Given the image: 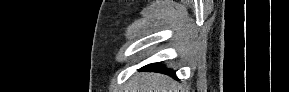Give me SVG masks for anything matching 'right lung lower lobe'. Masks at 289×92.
<instances>
[{"mask_svg": "<svg viewBox=\"0 0 289 92\" xmlns=\"http://www.w3.org/2000/svg\"><path fill=\"white\" fill-rule=\"evenodd\" d=\"M140 70L158 71V72H163V73L173 75V76L175 75L171 69H168V68L164 67L163 65H160L159 63L149 64L147 66H144Z\"/></svg>", "mask_w": 289, "mask_h": 92, "instance_id": "obj_1", "label": "right lung lower lobe"}]
</instances>
